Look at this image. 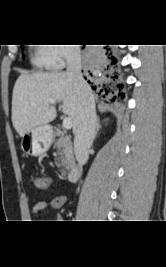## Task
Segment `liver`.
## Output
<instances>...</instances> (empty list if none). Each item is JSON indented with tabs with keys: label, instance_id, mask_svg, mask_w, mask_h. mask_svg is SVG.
Masks as SVG:
<instances>
[{
	"label": "liver",
	"instance_id": "6515ba94",
	"mask_svg": "<svg viewBox=\"0 0 166 267\" xmlns=\"http://www.w3.org/2000/svg\"><path fill=\"white\" fill-rule=\"evenodd\" d=\"M50 101L62 102L63 113L72 119L75 132L82 94L65 72L21 74L18 77L12 96V124L21 137L56 118V108Z\"/></svg>",
	"mask_w": 166,
	"mask_h": 267
}]
</instances>
